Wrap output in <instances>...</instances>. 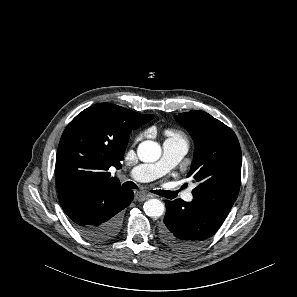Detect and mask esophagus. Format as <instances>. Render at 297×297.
Wrapping results in <instances>:
<instances>
[{
	"instance_id": "obj_1",
	"label": "esophagus",
	"mask_w": 297,
	"mask_h": 297,
	"mask_svg": "<svg viewBox=\"0 0 297 297\" xmlns=\"http://www.w3.org/2000/svg\"><path fill=\"white\" fill-rule=\"evenodd\" d=\"M153 195L152 194H149V193H144V192H138L136 195H135V198L137 201L139 202H143L149 198H152Z\"/></svg>"
}]
</instances>
